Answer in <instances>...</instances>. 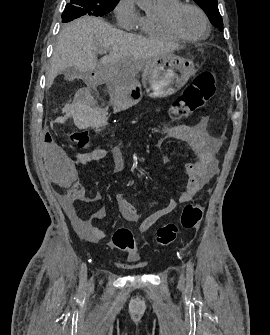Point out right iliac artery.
Returning <instances> with one entry per match:
<instances>
[{"label":"right iliac artery","mask_w":270,"mask_h":335,"mask_svg":"<svg viewBox=\"0 0 270 335\" xmlns=\"http://www.w3.org/2000/svg\"><path fill=\"white\" fill-rule=\"evenodd\" d=\"M86 278H87V270H86V264H83L81 267V281H80V292L83 294L86 291V287H87V282H86Z\"/></svg>","instance_id":"obj_1"}]
</instances>
